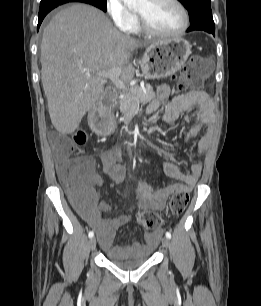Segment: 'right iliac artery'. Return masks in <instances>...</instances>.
<instances>
[{"mask_svg":"<svg viewBox=\"0 0 261 306\" xmlns=\"http://www.w3.org/2000/svg\"><path fill=\"white\" fill-rule=\"evenodd\" d=\"M93 236H94V232H93V231H90L89 234H88V237H89V238H92Z\"/></svg>","mask_w":261,"mask_h":306,"instance_id":"right-iliac-artery-1","label":"right iliac artery"}]
</instances>
